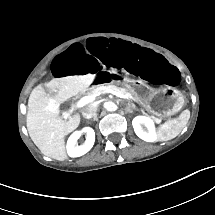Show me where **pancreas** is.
<instances>
[{
	"mask_svg": "<svg viewBox=\"0 0 215 215\" xmlns=\"http://www.w3.org/2000/svg\"><path fill=\"white\" fill-rule=\"evenodd\" d=\"M105 85H107V86H108V85L113 86L114 89L120 91V92L123 93V94L127 93V91H126L125 89H123V88H121V87H117V86H115V85H113V84H99V85H95V86L90 87V88L87 90L86 93H87L88 95H91V94H93V93H100V94H102V87L105 86ZM128 103H129L130 105L134 106V104L132 103L131 100H128ZM152 117H153L158 123L161 122V120H160L159 118H156V117H154V116H152Z\"/></svg>",
	"mask_w": 215,
	"mask_h": 215,
	"instance_id": "cf45deb5",
	"label": "pancreas"
}]
</instances>
